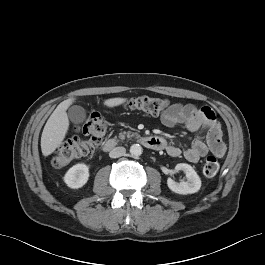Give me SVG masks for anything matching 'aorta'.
I'll use <instances>...</instances> for the list:
<instances>
[{"instance_id":"aorta-1","label":"aorta","mask_w":265,"mask_h":265,"mask_svg":"<svg viewBox=\"0 0 265 265\" xmlns=\"http://www.w3.org/2000/svg\"><path fill=\"white\" fill-rule=\"evenodd\" d=\"M142 152H143V149H142V146L140 144H133L130 147V154L132 156L138 157L142 154Z\"/></svg>"}]
</instances>
